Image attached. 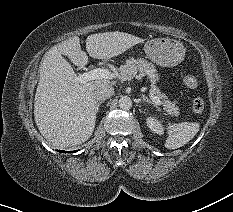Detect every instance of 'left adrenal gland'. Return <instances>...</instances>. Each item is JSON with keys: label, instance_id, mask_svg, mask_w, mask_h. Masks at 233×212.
I'll return each mask as SVG.
<instances>
[{"label": "left adrenal gland", "instance_id": "a2214340", "mask_svg": "<svg viewBox=\"0 0 233 212\" xmlns=\"http://www.w3.org/2000/svg\"><path fill=\"white\" fill-rule=\"evenodd\" d=\"M142 100L144 102H148L150 104H153L154 107H157L152 101H150V99H148V97H146L145 95H142Z\"/></svg>", "mask_w": 233, "mask_h": 212}]
</instances>
